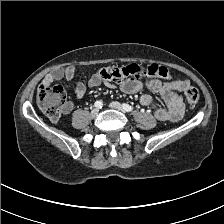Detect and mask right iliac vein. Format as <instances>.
Here are the masks:
<instances>
[{
	"mask_svg": "<svg viewBox=\"0 0 224 224\" xmlns=\"http://www.w3.org/2000/svg\"><path fill=\"white\" fill-rule=\"evenodd\" d=\"M98 113H99V109H98V108H95V109H93V110L91 111V116H92V117H96V116L98 115Z\"/></svg>",
	"mask_w": 224,
	"mask_h": 224,
	"instance_id": "63e3f726",
	"label": "right iliac vein"
}]
</instances>
